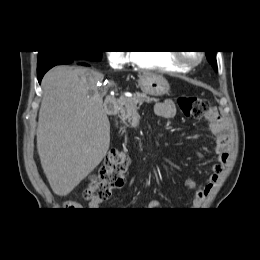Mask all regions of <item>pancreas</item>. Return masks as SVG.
<instances>
[{"mask_svg":"<svg viewBox=\"0 0 260 260\" xmlns=\"http://www.w3.org/2000/svg\"><path fill=\"white\" fill-rule=\"evenodd\" d=\"M158 100L155 98H150L145 93L136 92L132 97L122 96L118 100L119 105V115L118 117L121 119L122 123L125 125L121 128L122 132H125V128L128 126L126 121L130 122L133 114L138 109L137 105H141L144 102L151 103L157 102Z\"/></svg>","mask_w":260,"mask_h":260,"instance_id":"cf45deb5","label":"pancreas"}]
</instances>
